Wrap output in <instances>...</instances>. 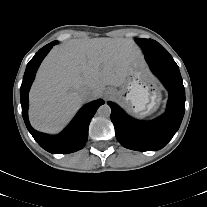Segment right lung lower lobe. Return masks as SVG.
Returning <instances> with one entry per match:
<instances>
[{"mask_svg":"<svg viewBox=\"0 0 207 207\" xmlns=\"http://www.w3.org/2000/svg\"><path fill=\"white\" fill-rule=\"evenodd\" d=\"M57 43V41H53L41 48L27 64L20 88V100L24 122L35 141L50 153L66 154L78 151L85 146L91 118L97 109L104 104V101L99 99L84 105L72 122L59 135L50 136L31 127L28 120V93L40 63Z\"/></svg>","mask_w":207,"mask_h":207,"instance_id":"obj_1","label":"right lung lower lobe"}]
</instances>
